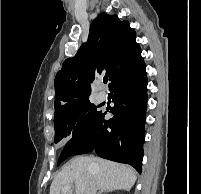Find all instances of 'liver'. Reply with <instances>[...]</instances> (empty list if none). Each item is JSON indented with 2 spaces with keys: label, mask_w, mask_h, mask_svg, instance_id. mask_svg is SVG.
<instances>
[{
  "label": "liver",
  "mask_w": 201,
  "mask_h": 194,
  "mask_svg": "<svg viewBox=\"0 0 201 194\" xmlns=\"http://www.w3.org/2000/svg\"><path fill=\"white\" fill-rule=\"evenodd\" d=\"M93 181L101 191L129 190L136 181V171L128 165L94 156L75 157L56 175L50 194H63L64 186L73 185L76 194H86ZM65 194L73 192L69 190Z\"/></svg>",
  "instance_id": "1"
}]
</instances>
